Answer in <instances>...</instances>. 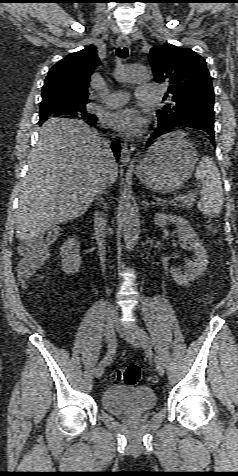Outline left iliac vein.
I'll return each mask as SVG.
<instances>
[{
	"label": "left iliac vein",
	"instance_id": "4c4485c4",
	"mask_svg": "<svg viewBox=\"0 0 238 476\" xmlns=\"http://www.w3.org/2000/svg\"><path fill=\"white\" fill-rule=\"evenodd\" d=\"M118 329H119V333L120 335L128 342L130 343L132 346L134 347H139L141 342H140V338L139 336L137 335V332L134 328L132 329H127V328H124V327H121L118 325ZM155 364H156V369L158 371V373L162 376L164 375L165 373V366H164V363L163 361L161 360V358H159L158 356L155 357Z\"/></svg>",
	"mask_w": 238,
	"mask_h": 476
}]
</instances>
